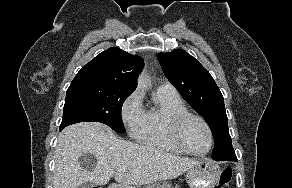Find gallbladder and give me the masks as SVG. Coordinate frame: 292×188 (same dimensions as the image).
Segmentation results:
<instances>
[{"label":"gallbladder","instance_id":"bac80fb5","mask_svg":"<svg viewBox=\"0 0 292 188\" xmlns=\"http://www.w3.org/2000/svg\"><path fill=\"white\" fill-rule=\"evenodd\" d=\"M93 186L94 185L92 184V182H84L83 184L78 186V188H92Z\"/></svg>","mask_w":292,"mask_h":188}]
</instances>
